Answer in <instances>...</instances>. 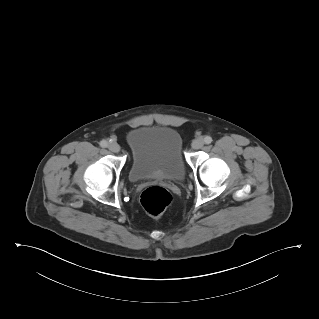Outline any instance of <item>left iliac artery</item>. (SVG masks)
Instances as JSON below:
<instances>
[{
  "label": "left iliac artery",
  "mask_w": 319,
  "mask_h": 319,
  "mask_svg": "<svg viewBox=\"0 0 319 319\" xmlns=\"http://www.w3.org/2000/svg\"><path fill=\"white\" fill-rule=\"evenodd\" d=\"M204 142H205L206 144H210V143L212 142V138H211L210 136H206V137L204 138Z\"/></svg>",
  "instance_id": "left-iliac-artery-1"
}]
</instances>
